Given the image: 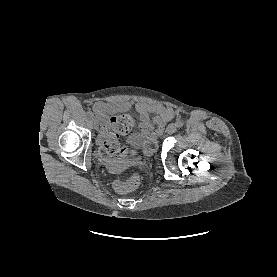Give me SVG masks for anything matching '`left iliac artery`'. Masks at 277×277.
<instances>
[{"label":"left iliac artery","mask_w":277,"mask_h":277,"mask_svg":"<svg viewBox=\"0 0 277 277\" xmlns=\"http://www.w3.org/2000/svg\"><path fill=\"white\" fill-rule=\"evenodd\" d=\"M176 125H177V127L181 128L184 125V123H183V121L179 120L176 122Z\"/></svg>","instance_id":"left-iliac-artery-1"}]
</instances>
